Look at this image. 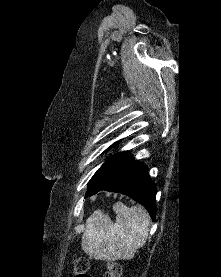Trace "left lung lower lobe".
<instances>
[{
	"instance_id": "left-lung-lower-lobe-1",
	"label": "left lung lower lobe",
	"mask_w": 221,
	"mask_h": 277,
	"mask_svg": "<svg viewBox=\"0 0 221 277\" xmlns=\"http://www.w3.org/2000/svg\"><path fill=\"white\" fill-rule=\"evenodd\" d=\"M101 190L121 193L142 204L155 219L156 188L148 174V168L139 161L132 160L112 177L97 184L89 185L86 196L94 195Z\"/></svg>"
}]
</instances>
